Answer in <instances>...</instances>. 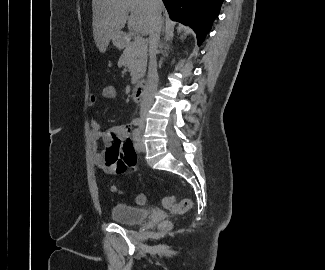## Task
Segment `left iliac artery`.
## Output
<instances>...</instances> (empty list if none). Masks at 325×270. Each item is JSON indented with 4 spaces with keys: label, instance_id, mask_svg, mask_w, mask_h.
<instances>
[{
    "label": "left iliac artery",
    "instance_id": "left-iliac-artery-1",
    "mask_svg": "<svg viewBox=\"0 0 325 270\" xmlns=\"http://www.w3.org/2000/svg\"><path fill=\"white\" fill-rule=\"evenodd\" d=\"M133 141H134V146L136 149L139 148V141H140V131L138 129H135L133 131Z\"/></svg>",
    "mask_w": 325,
    "mask_h": 270
}]
</instances>
